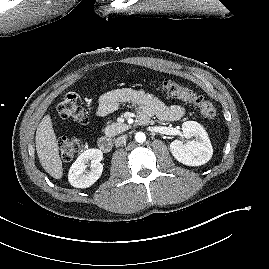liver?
Wrapping results in <instances>:
<instances>
[{
    "instance_id": "1",
    "label": "liver",
    "mask_w": 269,
    "mask_h": 269,
    "mask_svg": "<svg viewBox=\"0 0 269 269\" xmlns=\"http://www.w3.org/2000/svg\"><path fill=\"white\" fill-rule=\"evenodd\" d=\"M36 151L42 167L53 178L60 179L63 175L59 147L49 114L44 116L36 131Z\"/></svg>"
}]
</instances>
